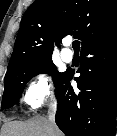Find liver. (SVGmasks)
Segmentation results:
<instances>
[{"label":"liver","mask_w":117,"mask_h":136,"mask_svg":"<svg viewBox=\"0 0 117 136\" xmlns=\"http://www.w3.org/2000/svg\"><path fill=\"white\" fill-rule=\"evenodd\" d=\"M3 136H62L49 120L36 117L25 122L11 121L3 126Z\"/></svg>","instance_id":"liver-1"}]
</instances>
